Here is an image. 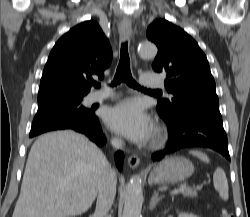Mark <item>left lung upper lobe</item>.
I'll return each mask as SVG.
<instances>
[{
    "mask_svg": "<svg viewBox=\"0 0 250 217\" xmlns=\"http://www.w3.org/2000/svg\"><path fill=\"white\" fill-rule=\"evenodd\" d=\"M147 37L158 47L153 70L166 75L165 86L173 95L158 101V113L171 119L188 106L218 101L207 58L183 29L158 19L148 27Z\"/></svg>",
    "mask_w": 250,
    "mask_h": 217,
    "instance_id": "5c2ea615",
    "label": "left lung upper lobe"
}]
</instances>
